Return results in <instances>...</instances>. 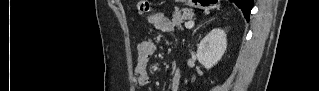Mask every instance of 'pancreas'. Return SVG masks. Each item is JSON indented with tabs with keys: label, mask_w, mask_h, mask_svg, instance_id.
<instances>
[{
	"label": "pancreas",
	"mask_w": 319,
	"mask_h": 91,
	"mask_svg": "<svg viewBox=\"0 0 319 91\" xmlns=\"http://www.w3.org/2000/svg\"><path fill=\"white\" fill-rule=\"evenodd\" d=\"M193 17L194 13L190 9H176L172 14V22L173 25L176 26L178 29L183 30L182 23L184 22V20L192 19Z\"/></svg>",
	"instance_id": "cf45deb5"
}]
</instances>
